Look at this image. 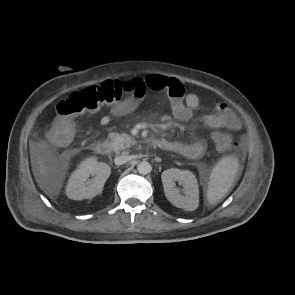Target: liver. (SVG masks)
I'll list each match as a JSON object with an SVG mask.
<instances>
[{
	"label": "liver",
	"mask_w": 295,
	"mask_h": 295,
	"mask_svg": "<svg viewBox=\"0 0 295 295\" xmlns=\"http://www.w3.org/2000/svg\"><path fill=\"white\" fill-rule=\"evenodd\" d=\"M40 166H41V173L43 174L44 178H47L46 170L42 164V161H40Z\"/></svg>",
	"instance_id": "6515ba94"
}]
</instances>
